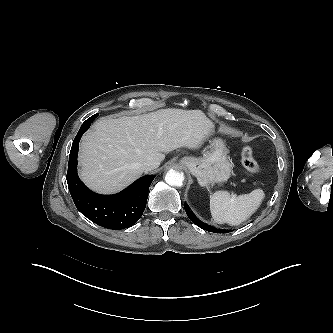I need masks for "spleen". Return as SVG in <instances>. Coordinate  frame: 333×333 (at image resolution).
Returning <instances> with one entry per match:
<instances>
[{
	"mask_svg": "<svg viewBox=\"0 0 333 333\" xmlns=\"http://www.w3.org/2000/svg\"><path fill=\"white\" fill-rule=\"evenodd\" d=\"M264 196L262 189L237 197L230 196L227 191H216L210 197L211 215L219 224L239 225L259 208Z\"/></svg>",
	"mask_w": 333,
	"mask_h": 333,
	"instance_id": "obj_1",
	"label": "spleen"
}]
</instances>
